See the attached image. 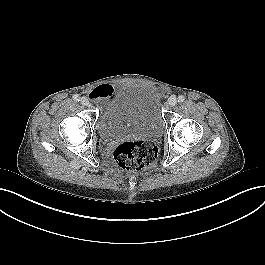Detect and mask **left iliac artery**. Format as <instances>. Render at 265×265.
Here are the masks:
<instances>
[{"label": "left iliac artery", "mask_w": 265, "mask_h": 265, "mask_svg": "<svg viewBox=\"0 0 265 265\" xmlns=\"http://www.w3.org/2000/svg\"><path fill=\"white\" fill-rule=\"evenodd\" d=\"M185 97L183 95L178 96V102L182 103L184 102Z\"/></svg>", "instance_id": "left-iliac-artery-1"}]
</instances>
